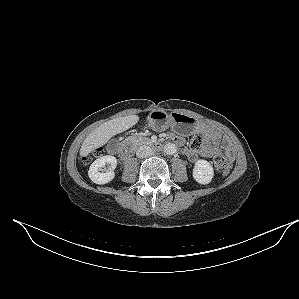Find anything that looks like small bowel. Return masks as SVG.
Instances as JSON below:
<instances>
[{
	"label": "small bowel",
	"instance_id": "obj_1",
	"mask_svg": "<svg viewBox=\"0 0 299 299\" xmlns=\"http://www.w3.org/2000/svg\"><path fill=\"white\" fill-rule=\"evenodd\" d=\"M205 138L207 140V143L205 144V151L199 152L192 148L190 149H183V153L188 157V159L192 162L196 161L200 156L202 157H212L211 153L216 150L217 142L219 140V135L214 130H205L204 131ZM172 139L175 143L182 146L183 145V139L178 135H172ZM225 152L229 159L233 158V153L231 148L228 145L224 146Z\"/></svg>",
	"mask_w": 299,
	"mask_h": 299
}]
</instances>
